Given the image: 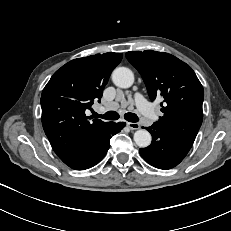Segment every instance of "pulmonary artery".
Instances as JSON below:
<instances>
[{
	"mask_svg": "<svg viewBox=\"0 0 231 231\" xmlns=\"http://www.w3.org/2000/svg\"><path fill=\"white\" fill-rule=\"evenodd\" d=\"M135 103L137 108L143 115H145L149 119L155 118L154 110L141 94L137 93L135 95Z\"/></svg>",
	"mask_w": 231,
	"mask_h": 231,
	"instance_id": "pulmonary-artery-1",
	"label": "pulmonary artery"
}]
</instances>
